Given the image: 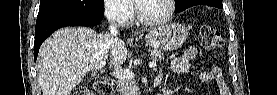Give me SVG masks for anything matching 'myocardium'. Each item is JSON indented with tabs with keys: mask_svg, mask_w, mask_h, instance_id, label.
Here are the masks:
<instances>
[{
	"mask_svg": "<svg viewBox=\"0 0 277 95\" xmlns=\"http://www.w3.org/2000/svg\"><path fill=\"white\" fill-rule=\"evenodd\" d=\"M140 1H142V0H132V4H133L134 15H135L137 21L143 25L156 26V25H161V24L167 23L171 19L172 15L175 11V1L174 0H166L168 3L167 15L163 18L148 19V18L143 17L140 14V11H139Z\"/></svg>",
	"mask_w": 277,
	"mask_h": 95,
	"instance_id": "obj_1",
	"label": "myocardium"
}]
</instances>
